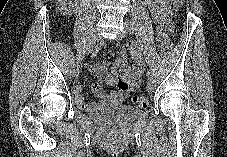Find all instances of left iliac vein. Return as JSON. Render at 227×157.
<instances>
[{
    "label": "left iliac vein",
    "mask_w": 227,
    "mask_h": 157,
    "mask_svg": "<svg viewBox=\"0 0 227 157\" xmlns=\"http://www.w3.org/2000/svg\"><path fill=\"white\" fill-rule=\"evenodd\" d=\"M129 23H130V22H128V21L125 22V27H126V28H128V24H129ZM126 34H127V31L124 30V31L121 33L120 38L125 37ZM155 86H156V85H155V81H154L152 78H149L148 81H147V89H148L149 91H153V90L155 89Z\"/></svg>",
    "instance_id": "1"
}]
</instances>
